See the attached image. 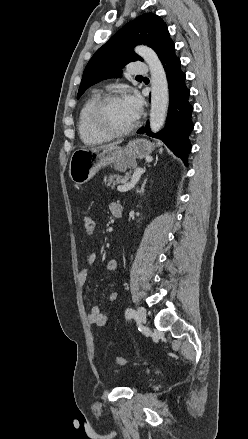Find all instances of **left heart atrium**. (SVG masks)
<instances>
[{
    "label": "left heart atrium",
    "mask_w": 248,
    "mask_h": 439,
    "mask_svg": "<svg viewBox=\"0 0 248 439\" xmlns=\"http://www.w3.org/2000/svg\"><path fill=\"white\" fill-rule=\"evenodd\" d=\"M125 103L128 105V107L133 112L134 116L137 118L142 110V100L141 98L135 94V93H129L124 98Z\"/></svg>",
    "instance_id": "1"
}]
</instances>
